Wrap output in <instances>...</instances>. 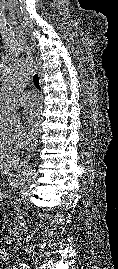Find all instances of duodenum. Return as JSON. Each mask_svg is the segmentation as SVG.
I'll list each match as a JSON object with an SVG mask.
<instances>
[{"label":"duodenum","instance_id":"1","mask_svg":"<svg viewBox=\"0 0 118 269\" xmlns=\"http://www.w3.org/2000/svg\"><path fill=\"white\" fill-rule=\"evenodd\" d=\"M25 226H26V220L22 215H20L14 221L12 229L14 231H20V230L24 229Z\"/></svg>","mask_w":118,"mask_h":269}]
</instances>
